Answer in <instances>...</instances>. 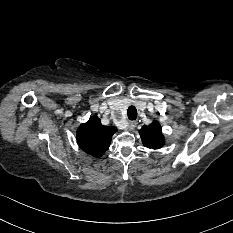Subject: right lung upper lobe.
Masks as SVG:
<instances>
[{
    "instance_id": "cb5924a9",
    "label": "right lung upper lobe",
    "mask_w": 233,
    "mask_h": 233,
    "mask_svg": "<svg viewBox=\"0 0 233 233\" xmlns=\"http://www.w3.org/2000/svg\"><path fill=\"white\" fill-rule=\"evenodd\" d=\"M116 131L115 127L103 126L100 119L93 116L78 128L77 142L84 152L94 157H100L108 149Z\"/></svg>"
}]
</instances>
